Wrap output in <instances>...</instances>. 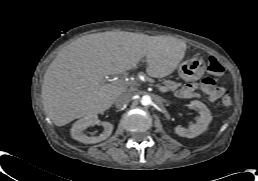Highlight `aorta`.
<instances>
[{
  "label": "aorta",
  "mask_w": 258,
  "mask_h": 181,
  "mask_svg": "<svg viewBox=\"0 0 258 181\" xmlns=\"http://www.w3.org/2000/svg\"><path fill=\"white\" fill-rule=\"evenodd\" d=\"M140 102L142 105L147 106L152 103V99L149 95H144V96H142Z\"/></svg>",
  "instance_id": "obj_1"
}]
</instances>
